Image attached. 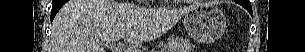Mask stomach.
Returning <instances> with one entry per match:
<instances>
[{
    "instance_id": "stomach-1",
    "label": "stomach",
    "mask_w": 305,
    "mask_h": 52,
    "mask_svg": "<svg viewBox=\"0 0 305 52\" xmlns=\"http://www.w3.org/2000/svg\"><path fill=\"white\" fill-rule=\"evenodd\" d=\"M184 27L194 40L210 43L219 39L223 34L226 27V17L217 7L201 3L185 13Z\"/></svg>"
}]
</instances>
